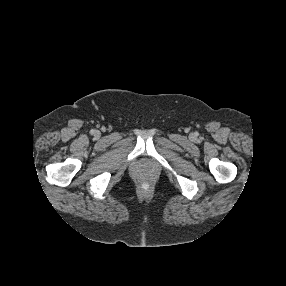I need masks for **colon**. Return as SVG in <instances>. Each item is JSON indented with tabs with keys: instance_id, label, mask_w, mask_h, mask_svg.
<instances>
[{
	"instance_id": "1",
	"label": "colon",
	"mask_w": 286,
	"mask_h": 286,
	"mask_svg": "<svg viewBox=\"0 0 286 286\" xmlns=\"http://www.w3.org/2000/svg\"><path fill=\"white\" fill-rule=\"evenodd\" d=\"M141 185H142V187L146 188L149 186V183H148V181L144 180V181H142Z\"/></svg>"
}]
</instances>
